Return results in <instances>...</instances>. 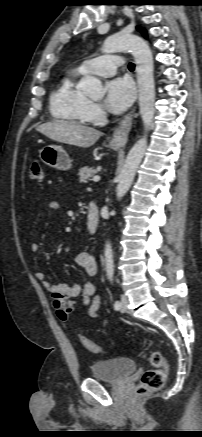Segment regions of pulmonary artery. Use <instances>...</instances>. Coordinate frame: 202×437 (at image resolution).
Listing matches in <instances>:
<instances>
[{
    "instance_id": "obj_1",
    "label": "pulmonary artery",
    "mask_w": 202,
    "mask_h": 437,
    "mask_svg": "<svg viewBox=\"0 0 202 437\" xmlns=\"http://www.w3.org/2000/svg\"><path fill=\"white\" fill-rule=\"evenodd\" d=\"M124 60L119 55H103L84 61L79 69L83 74H95L103 77L112 76Z\"/></svg>"
}]
</instances>
